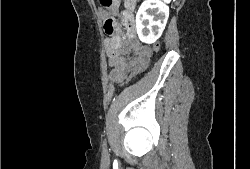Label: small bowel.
<instances>
[{
  "label": "small bowel",
  "mask_w": 250,
  "mask_h": 169,
  "mask_svg": "<svg viewBox=\"0 0 250 169\" xmlns=\"http://www.w3.org/2000/svg\"><path fill=\"white\" fill-rule=\"evenodd\" d=\"M118 14V4L111 9L106 16V22L113 20L116 22ZM126 32L131 31L132 17L130 13L126 12L123 16ZM106 53L111 67L110 78L119 83H125V72H131V67H137L143 63L149 56L150 51L146 48L140 47L138 43L130 36H125V40L119 37H112L105 42Z\"/></svg>",
  "instance_id": "1"
}]
</instances>
